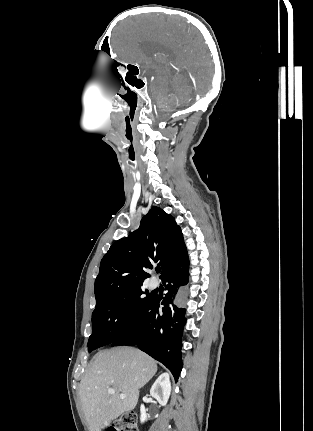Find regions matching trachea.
<instances>
[{
  "instance_id": "obj_1",
  "label": "trachea",
  "mask_w": 313,
  "mask_h": 431,
  "mask_svg": "<svg viewBox=\"0 0 313 431\" xmlns=\"http://www.w3.org/2000/svg\"><path fill=\"white\" fill-rule=\"evenodd\" d=\"M160 270H161V269H160V267H157V268H156V272H157V273H159V272H160Z\"/></svg>"
}]
</instances>
